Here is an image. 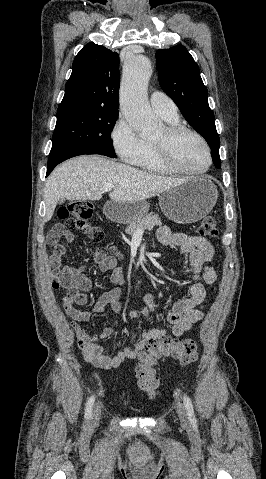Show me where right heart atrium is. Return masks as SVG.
<instances>
[{
	"label": "right heart atrium",
	"mask_w": 266,
	"mask_h": 479,
	"mask_svg": "<svg viewBox=\"0 0 266 479\" xmlns=\"http://www.w3.org/2000/svg\"><path fill=\"white\" fill-rule=\"evenodd\" d=\"M111 142L118 156L127 163L135 164L142 156L145 145L131 124L120 115L110 133Z\"/></svg>",
	"instance_id": "1"
}]
</instances>
